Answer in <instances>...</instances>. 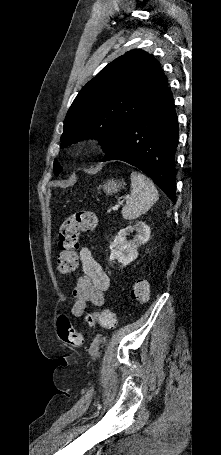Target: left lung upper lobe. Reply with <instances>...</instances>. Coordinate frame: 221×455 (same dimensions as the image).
<instances>
[{"mask_svg":"<svg viewBox=\"0 0 221 455\" xmlns=\"http://www.w3.org/2000/svg\"><path fill=\"white\" fill-rule=\"evenodd\" d=\"M167 89L160 63L131 50L105 66L78 93L64 121L61 148L95 138L106 152L124 129ZM62 167L54 162V174Z\"/></svg>","mask_w":221,"mask_h":455,"instance_id":"left-lung-upper-lobe-1","label":"left lung upper lobe"}]
</instances>
